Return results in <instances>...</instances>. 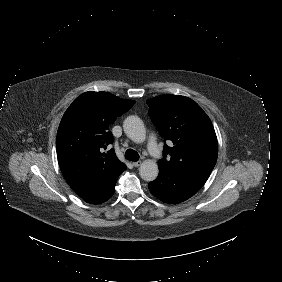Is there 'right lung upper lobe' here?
<instances>
[{
  "label": "right lung upper lobe",
  "instance_id": "1",
  "mask_svg": "<svg viewBox=\"0 0 282 282\" xmlns=\"http://www.w3.org/2000/svg\"><path fill=\"white\" fill-rule=\"evenodd\" d=\"M134 103L108 92L89 91L66 110L57 132V158L64 178L82 199L126 170L113 149L102 152L113 143L110 125Z\"/></svg>",
  "mask_w": 282,
  "mask_h": 282
}]
</instances>
